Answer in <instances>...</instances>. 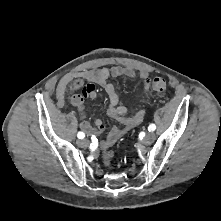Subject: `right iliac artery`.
I'll list each match as a JSON object with an SVG mask.
<instances>
[{
	"label": "right iliac artery",
	"instance_id": "1",
	"mask_svg": "<svg viewBox=\"0 0 221 221\" xmlns=\"http://www.w3.org/2000/svg\"><path fill=\"white\" fill-rule=\"evenodd\" d=\"M77 137L79 139H83L85 137V134L83 132H78Z\"/></svg>",
	"mask_w": 221,
	"mask_h": 221
}]
</instances>
